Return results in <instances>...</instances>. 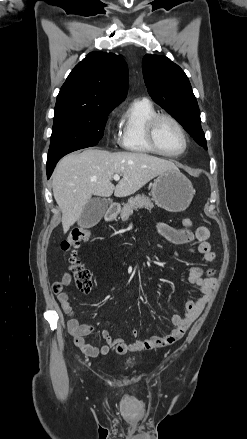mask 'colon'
Wrapping results in <instances>:
<instances>
[{"instance_id":"obj_1","label":"colon","mask_w":247,"mask_h":439,"mask_svg":"<svg viewBox=\"0 0 247 439\" xmlns=\"http://www.w3.org/2000/svg\"><path fill=\"white\" fill-rule=\"evenodd\" d=\"M182 225L190 227L192 221L186 218L182 221ZM89 237L90 233L87 229L74 228L61 243V249L67 258L69 271L75 280L76 288L84 293L89 292L92 287V274L80 261L77 250L80 244L88 241Z\"/></svg>"}]
</instances>
